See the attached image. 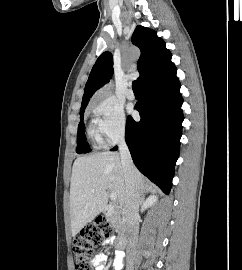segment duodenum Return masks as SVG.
<instances>
[{
	"label": "duodenum",
	"mask_w": 242,
	"mask_h": 270,
	"mask_svg": "<svg viewBox=\"0 0 242 270\" xmlns=\"http://www.w3.org/2000/svg\"><path fill=\"white\" fill-rule=\"evenodd\" d=\"M115 209L112 206L107 207L102 213V217H110L114 213ZM119 248H125L127 245V237L123 236L117 241Z\"/></svg>",
	"instance_id": "1"
}]
</instances>
